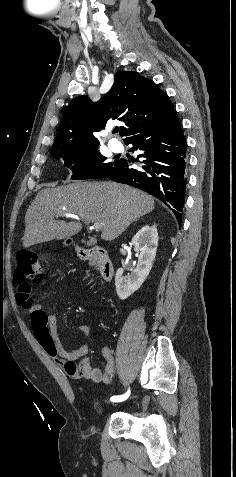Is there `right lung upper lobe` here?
<instances>
[{"label": "right lung upper lobe", "instance_id": "cb5924a9", "mask_svg": "<svg viewBox=\"0 0 236 477\" xmlns=\"http://www.w3.org/2000/svg\"><path fill=\"white\" fill-rule=\"evenodd\" d=\"M174 111L166 93L152 80L133 71H119L111 90L98 102L79 96L69 103L63 112L52 153L99 145L93 132L105 128L111 119L125 123L120 127V133L126 142L137 133L161 125Z\"/></svg>", "mask_w": 236, "mask_h": 477}]
</instances>
